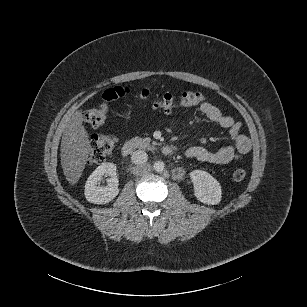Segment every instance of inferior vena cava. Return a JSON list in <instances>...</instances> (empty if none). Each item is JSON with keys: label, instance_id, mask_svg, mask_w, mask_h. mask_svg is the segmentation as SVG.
Returning a JSON list of instances; mask_svg holds the SVG:
<instances>
[{"label": "inferior vena cava", "instance_id": "1", "mask_svg": "<svg viewBox=\"0 0 307 307\" xmlns=\"http://www.w3.org/2000/svg\"><path fill=\"white\" fill-rule=\"evenodd\" d=\"M132 162L135 163V164H143V163H146L147 160H148V155L145 151L143 150H136L132 157Z\"/></svg>", "mask_w": 307, "mask_h": 307}]
</instances>
